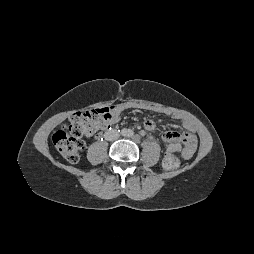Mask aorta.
<instances>
[{"instance_id":"1","label":"aorta","mask_w":254,"mask_h":254,"mask_svg":"<svg viewBox=\"0 0 254 254\" xmlns=\"http://www.w3.org/2000/svg\"><path fill=\"white\" fill-rule=\"evenodd\" d=\"M122 133H123V136H130L131 135V130L124 129Z\"/></svg>"}]
</instances>
